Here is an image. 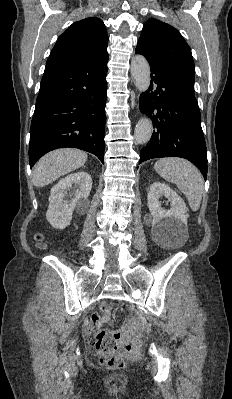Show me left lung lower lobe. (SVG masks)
<instances>
[{
  "instance_id": "obj_1",
  "label": "left lung lower lobe",
  "mask_w": 232,
  "mask_h": 399,
  "mask_svg": "<svg viewBox=\"0 0 232 399\" xmlns=\"http://www.w3.org/2000/svg\"><path fill=\"white\" fill-rule=\"evenodd\" d=\"M148 60L151 84L140 95L139 108L152 120L155 130L141 150L142 163L152 158L181 157L196 165L207 178V152L197 100L160 60L139 49Z\"/></svg>"
}]
</instances>
